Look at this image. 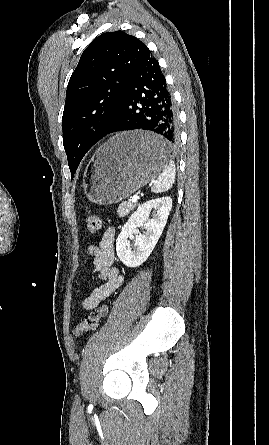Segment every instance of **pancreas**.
<instances>
[{
    "label": "pancreas",
    "mask_w": 269,
    "mask_h": 445,
    "mask_svg": "<svg viewBox=\"0 0 269 445\" xmlns=\"http://www.w3.org/2000/svg\"><path fill=\"white\" fill-rule=\"evenodd\" d=\"M135 207H136L135 203L122 202L118 207L117 214L120 218L124 217V216L128 215L130 213V211L133 210V208H135Z\"/></svg>",
    "instance_id": "cf45deb5"
}]
</instances>
